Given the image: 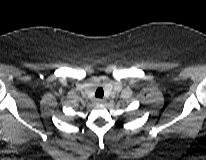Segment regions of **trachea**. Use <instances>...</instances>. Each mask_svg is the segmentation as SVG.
<instances>
[{"instance_id":"3493384b","label":"trachea","mask_w":206,"mask_h":160,"mask_svg":"<svg viewBox=\"0 0 206 160\" xmlns=\"http://www.w3.org/2000/svg\"><path fill=\"white\" fill-rule=\"evenodd\" d=\"M104 95V91L101 87H99L97 90H96V93H95V96L96 98H102Z\"/></svg>"}]
</instances>
